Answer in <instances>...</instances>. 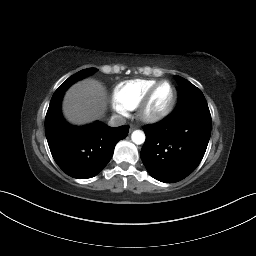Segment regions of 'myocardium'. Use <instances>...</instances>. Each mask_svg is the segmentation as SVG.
Segmentation results:
<instances>
[{
	"label": "myocardium",
	"mask_w": 256,
	"mask_h": 256,
	"mask_svg": "<svg viewBox=\"0 0 256 256\" xmlns=\"http://www.w3.org/2000/svg\"><path fill=\"white\" fill-rule=\"evenodd\" d=\"M163 84H168L172 89V97L169 104L159 111H151L150 105L154 94ZM177 100V91L175 86L168 80H162L153 85L145 94L143 99L137 105V116L138 118L146 123H155L166 118L174 109Z\"/></svg>",
	"instance_id": "f54148a6"
}]
</instances>
